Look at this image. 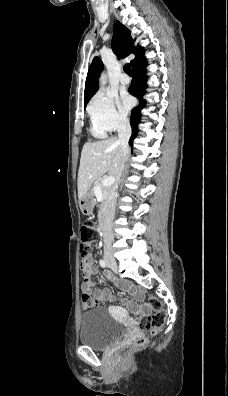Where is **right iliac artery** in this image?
Returning a JSON list of instances; mask_svg holds the SVG:
<instances>
[{
    "label": "right iliac artery",
    "mask_w": 228,
    "mask_h": 396,
    "mask_svg": "<svg viewBox=\"0 0 228 396\" xmlns=\"http://www.w3.org/2000/svg\"><path fill=\"white\" fill-rule=\"evenodd\" d=\"M99 264H100V266L101 267H103V268H105L107 265H106V262L104 261V260H100L99 261Z\"/></svg>",
    "instance_id": "right-iliac-artery-1"
}]
</instances>
